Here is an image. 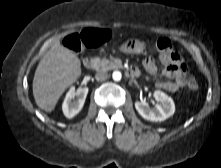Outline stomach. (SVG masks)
Segmentation results:
<instances>
[{"label": "stomach", "mask_w": 221, "mask_h": 168, "mask_svg": "<svg viewBox=\"0 0 221 168\" xmlns=\"http://www.w3.org/2000/svg\"><path fill=\"white\" fill-rule=\"evenodd\" d=\"M145 48L146 45L143 41L128 39L120 46L119 50L126 54H141Z\"/></svg>", "instance_id": "obj_1"}]
</instances>
